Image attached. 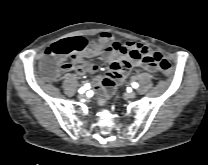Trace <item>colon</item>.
<instances>
[{
	"mask_svg": "<svg viewBox=\"0 0 208 165\" xmlns=\"http://www.w3.org/2000/svg\"><path fill=\"white\" fill-rule=\"evenodd\" d=\"M87 46L86 40L80 37L66 38L52 44L41 62L43 76L50 81H54L59 74V58L76 55L85 50ZM143 59L146 62L155 64L163 76L168 77L171 75V65L160 53L147 51L143 53Z\"/></svg>",
	"mask_w": 208,
	"mask_h": 165,
	"instance_id": "1",
	"label": "colon"
}]
</instances>
